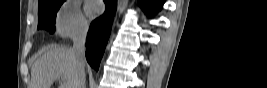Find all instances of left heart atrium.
Returning a JSON list of instances; mask_svg holds the SVG:
<instances>
[{
	"instance_id": "1",
	"label": "left heart atrium",
	"mask_w": 267,
	"mask_h": 88,
	"mask_svg": "<svg viewBox=\"0 0 267 88\" xmlns=\"http://www.w3.org/2000/svg\"><path fill=\"white\" fill-rule=\"evenodd\" d=\"M86 12L90 17H95L101 12V5L97 1H89L86 5Z\"/></svg>"
}]
</instances>
